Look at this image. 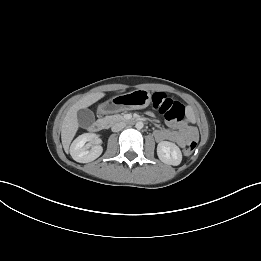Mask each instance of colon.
<instances>
[{"mask_svg":"<svg viewBox=\"0 0 261 261\" xmlns=\"http://www.w3.org/2000/svg\"><path fill=\"white\" fill-rule=\"evenodd\" d=\"M152 103L155 109H157L165 118L169 121L181 122L185 120V108L184 106L171 98L165 93L156 92L152 96ZM196 149V142L191 141L184 149V154L190 156Z\"/></svg>","mask_w":261,"mask_h":261,"instance_id":"5ec220e1","label":"colon"}]
</instances>
